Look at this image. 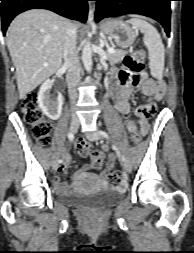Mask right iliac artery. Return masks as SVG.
<instances>
[{"label":"right iliac artery","mask_w":194,"mask_h":253,"mask_svg":"<svg viewBox=\"0 0 194 253\" xmlns=\"http://www.w3.org/2000/svg\"><path fill=\"white\" fill-rule=\"evenodd\" d=\"M68 139H69L70 141H73V139H74V134H73L72 132H70V133L68 134ZM58 162H59V163H62L63 160L60 159V160H58Z\"/></svg>","instance_id":"right-iliac-artery-1"}]
</instances>
